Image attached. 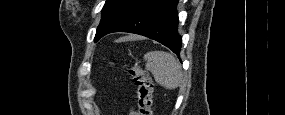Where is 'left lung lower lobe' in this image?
I'll list each match as a JSON object with an SVG mask.
<instances>
[{
  "label": "left lung lower lobe",
  "mask_w": 285,
  "mask_h": 115,
  "mask_svg": "<svg viewBox=\"0 0 285 115\" xmlns=\"http://www.w3.org/2000/svg\"><path fill=\"white\" fill-rule=\"evenodd\" d=\"M178 0H130L107 24L101 37L130 32L149 37L179 56L182 37L177 33Z\"/></svg>",
  "instance_id": "obj_1"
}]
</instances>
